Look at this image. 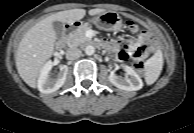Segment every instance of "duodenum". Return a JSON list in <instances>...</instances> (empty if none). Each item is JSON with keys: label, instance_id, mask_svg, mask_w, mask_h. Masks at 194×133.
<instances>
[{"label": "duodenum", "instance_id": "410a0bca", "mask_svg": "<svg viewBox=\"0 0 194 133\" xmlns=\"http://www.w3.org/2000/svg\"><path fill=\"white\" fill-rule=\"evenodd\" d=\"M82 21L81 20H74L72 24H67L65 25L64 29H63V34L64 36L57 42V46L58 47H63L65 45L66 39H65V35L67 34V32L69 30H71L72 28L74 29H81L82 28ZM96 46L98 47H103V45L101 43H96Z\"/></svg>", "mask_w": 194, "mask_h": 133}]
</instances>
